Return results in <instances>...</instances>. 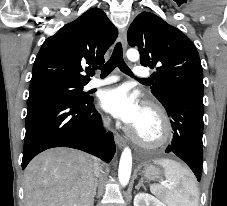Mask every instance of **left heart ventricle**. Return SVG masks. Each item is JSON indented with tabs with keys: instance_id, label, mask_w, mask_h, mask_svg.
Returning a JSON list of instances; mask_svg holds the SVG:
<instances>
[{
	"instance_id": "b2bd125f",
	"label": "left heart ventricle",
	"mask_w": 227,
	"mask_h": 206,
	"mask_svg": "<svg viewBox=\"0 0 227 206\" xmlns=\"http://www.w3.org/2000/svg\"><path fill=\"white\" fill-rule=\"evenodd\" d=\"M135 129L145 139H152L158 134V124L156 119L146 111L143 112V115Z\"/></svg>"
}]
</instances>
